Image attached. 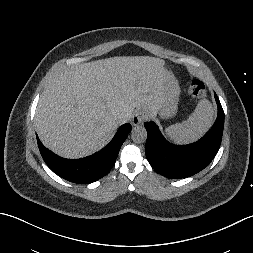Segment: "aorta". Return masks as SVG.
<instances>
[{"mask_svg":"<svg viewBox=\"0 0 253 253\" xmlns=\"http://www.w3.org/2000/svg\"><path fill=\"white\" fill-rule=\"evenodd\" d=\"M132 140L135 143H144L147 139V131L144 126H136L131 132Z\"/></svg>","mask_w":253,"mask_h":253,"instance_id":"aorta-1","label":"aorta"}]
</instances>
